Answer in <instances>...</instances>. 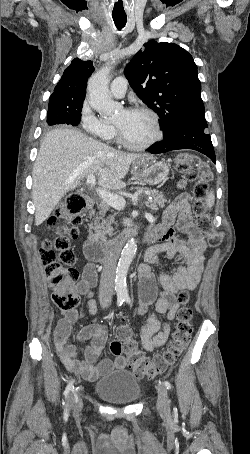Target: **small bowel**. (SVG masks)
<instances>
[{"label": "small bowel", "instance_id": "1", "mask_svg": "<svg viewBox=\"0 0 250 454\" xmlns=\"http://www.w3.org/2000/svg\"><path fill=\"white\" fill-rule=\"evenodd\" d=\"M174 224L185 239L179 238L175 234ZM152 240L156 243L147 249L146 264L139 268L140 302L136 308V312L142 315L146 313L151 304H155V312L149 315L146 325L141 330V342L147 351L161 347L168 340L172 320L179 308L175 295L179 291H193L201 279L204 269V237L192 220L187 194L179 195L168 207L163 222L156 227L152 234ZM160 253H165L167 258L175 263L171 274L166 272L160 274L161 289L157 286L151 268V265L159 263ZM96 281L95 265H86L82 278L76 285V291L78 295L87 299L89 315H95L97 312V303L92 293ZM158 314L165 315L164 322H161ZM78 317L77 311L66 312L64 317L58 321L54 331L56 351L66 368L89 381H95L112 369L122 368L125 362L123 357L119 356L114 360L100 359L107 335L97 324H89L79 330L77 338L81 341L91 339L92 343L85 346L83 358L78 357L76 347L69 342L72 326Z\"/></svg>", "mask_w": 250, "mask_h": 454}]
</instances>
